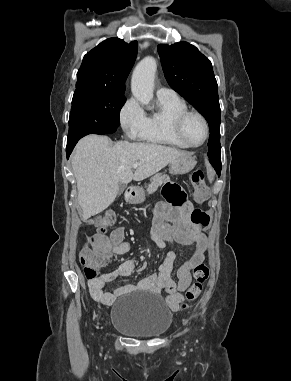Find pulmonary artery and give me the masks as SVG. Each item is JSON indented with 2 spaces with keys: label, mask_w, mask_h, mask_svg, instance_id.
Returning <instances> with one entry per match:
<instances>
[{
  "label": "pulmonary artery",
  "mask_w": 291,
  "mask_h": 381,
  "mask_svg": "<svg viewBox=\"0 0 291 381\" xmlns=\"http://www.w3.org/2000/svg\"><path fill=\"white\" fill-rule=\"evenodd\" d=\"M157 96L158 97H164V98H172V97H175L177 96L176 92L171 89V88H167V87H160L158 90H157Z\"/></svg>",
  "instance_id": "pulmonary-artery-1"
}]
</instances>
